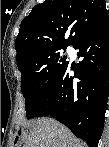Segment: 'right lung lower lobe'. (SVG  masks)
I'll return each instance as SVG.
<instances>
[{
	"label": "right lung lower lobe",
	"instance_id": "98d812e1",
	"mask_svg": "<svg viewBox=\"0 0 109 147\" xmlns=\"http://www.w3.org/2000/svg\"><path fill=\"white\" fill-rule=\"evenodd\" d=\"M73 47L79 50L82 60L77 67L66 65L35 117L51 115L89 147H97L109 89V18L103 19ZM71 70L76 80L70 76Z\"/></svg>",
	"mask_w": 109,
	"mask_h": 147
}]
</instances>
